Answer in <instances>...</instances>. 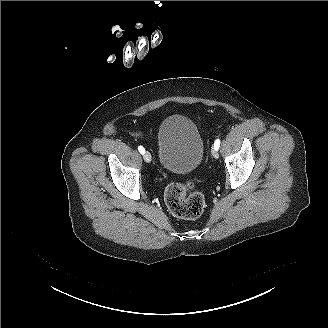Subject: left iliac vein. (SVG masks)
Listing matches in <instances>:
<instances>
[{
	"label": "left iliac vein",
	"instance_id": "1",
	"mask_svg": "<svg viewBox=\"0 0 328 328\" xmlns=\"http://www.w3.org/2000/svg\"><path fill=\"white\" fill-rule=\"evenodd\" d=\"M211 153H212V155H213V157H214L215 159H218V151H217L216 148H213L212 151H211Z\"/></svg>",
	"mask_w": 328,
	"mask_h": 328
}]
</instances>
